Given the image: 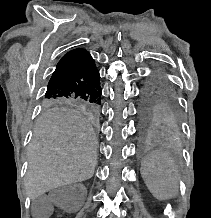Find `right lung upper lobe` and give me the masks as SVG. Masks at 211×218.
<instances>
[{
	"mask_svg": "<svg viewBox=\"0 0 211 218\" xmlns=\"http://www.w3.org/2000/svg\"><path fill=\"white\" fill-rule=\"evenodd\" d=\"M76 50H81V49H75V50H72V51H76ZM71 52V51H70Z\"/></svg>",
	"mask_w": 211,
	"mask_h": 218,
	"instance_id": "right-lung-upper-lobe-1",
	"label": "right lung upper lobe"
}]
</instances>
